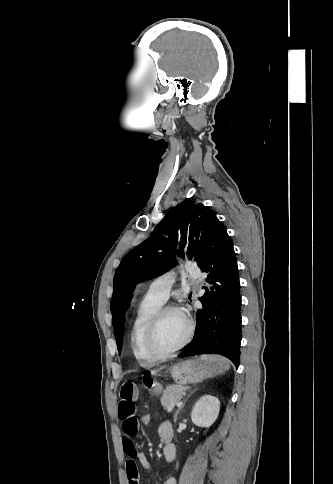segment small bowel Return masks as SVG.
I'll list each match as a JSON object with an SVG mask.
<instances>
[{
	"label": "small bowel",
	"instance_id": "obj_1",
	"mask_svg": "<svg viewBox=\"0 0 333 484\" xmlns=\"http://www.w3.org/2000/svg\"><path fill=\"white\" fill-rule=\"evenodd\" d=\"M138 394L139 391L137 385L130 381L123 383L119 391L118 417L121 421L123 431V450L128 457L125 464L128 484H139L136 461H138L144 469L150 470V463L147 457L143 453L137 451L133 441V438L137 436L140 431V424L135 406ZM158 433L165 443L163 449L165 459L167 462H171L176 456V449L172 444L173 427L171 423L168 421L161 423ZM163 484L177 483L174 478L169 477Z\"/></svg>",
	"mask_w": 333,
	"mask_h": 484
}]
</instances>
